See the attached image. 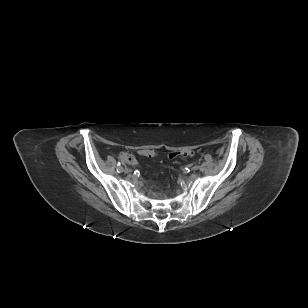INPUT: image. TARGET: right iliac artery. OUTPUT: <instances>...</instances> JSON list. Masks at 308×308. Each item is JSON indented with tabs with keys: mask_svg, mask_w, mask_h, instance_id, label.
I'll list each match as a JSON object with an SVG mask.
<instances>
[{
	"mask_svg": "<svg viewBox=\"0 0 308 308\" xmlns=\"http://www.w3.org/2000/svg\"><path fill=\"white\" fill-rule=\"evenodd\" d=\"M123 171V168L121 167V163L120 162H118L117 163V172H122Z\"/></svg>",
	"mask_w": 308,
	"mask_h": 308,
	"instance_id": "82829eb1",
	"label": "right iliac artery"
}]
</instances>
